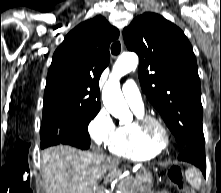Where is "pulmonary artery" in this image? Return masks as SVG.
<instances>
[{
    "instance_id": "obj_1",
    "label": "pulmonary artery",
    "mask_w": 221,
    "mask_h": 193,
    "mask_svg": "<svg viewBox=\"0 0 221 193\" xmlns=\"http://www.w3.org/2000/svg\"><path fill=\"white\" fill-rule=\"evenodd\" d=\"M122 93L129 105L137 111L144 110V104L138 87L132 79H128L123 87Z\"/></svg>"
}]
</instances>
